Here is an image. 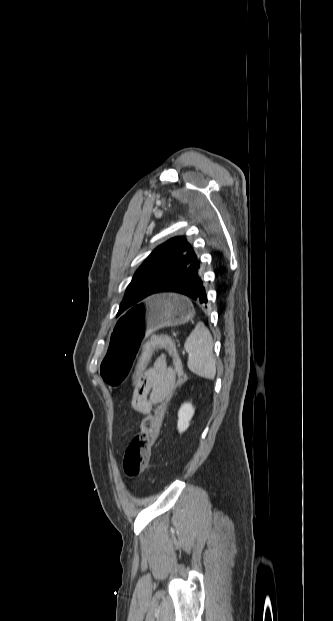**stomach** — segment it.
<instances>
[{
  "label": "stomach",
  "mask_w": 333,
  "mask_h": 621,
  "mask_svg": "<svg viewBox=\"0 0 333 621\" xmlns=\"http://www.w3.org/2000/svg\"><path fill=\"white\" fill-rule=\"evenodd\" d=\"M194 316L191 305L174 294H157L123 315L103 352L100 373L106 387L122 389L138 363L145 329L180 325Z\"/></svg>",
  "instance_id": "stomach-1"
}]
</instances>
